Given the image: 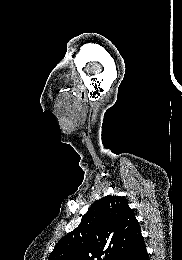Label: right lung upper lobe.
<instances>
[{
	"instance_id": "1",
	"label": "right lung upper lobe",
	"mask_w": 182,
	"mask_h": 260,
	"mask_svg": "<svg viewBox=\"0 0 182 260\" xmlns=\"http://www.w3.org/2000/svg\"><path fill=\"white\" fill-rule=\"evenodd\" d=\"M143 240L127 200L107 195L95 201L80 225L58 241L48 260H119Z\"/></svg>"
}]
</instances>
